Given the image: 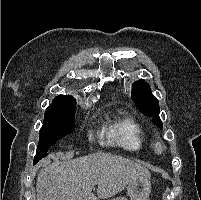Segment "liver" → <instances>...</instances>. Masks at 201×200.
I'll return each mask as SVG.
<instances>
[{
    "mask_svg": "<svg viewBox=\"0 0 201 200\" xmlns=\"http://www.w3.org/2000/svg\"><path fill=\"white\" fill-rule=\"evenodd\" d=\"M141 177L150 178L146 167L110 153L55 161L37 175V200L107 199ZM95 185L97 197L92 193Z\"/></svg>",
    "mask_w": 201,
    "mask_h": 200,
    "instance_id": "1",
    "label": "liver"
}]
</instances>
